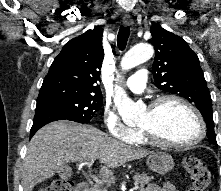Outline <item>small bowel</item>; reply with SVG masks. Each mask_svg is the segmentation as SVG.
Instances as JSON below:
<instances>
[{
	"mask_svg": "<svg viewBox=\"0 0 221 191\" xmlns=\"http://www.w3.org/2000/svg\"><path fill=\"white\" fill-rule=\"evenodd\" d=\"M143 191H178L171 183H164L162 186L150 184Z\"/></svg>",
	"mask_w": 221,
	"mask_h": 191,
	"instance_id": "1",
	"label": "small bowel"
}]
</instances>
